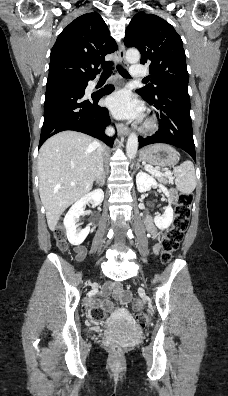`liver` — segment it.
<instances>
[{
    "instance_id": "liver-1",
    "label": "liver",
    "mask_w": 228,
    "mask_h": 396,
    "mask_svg": "<svg viewBox=\"0 0 228 396\" xmlns=\"http://www.w3.org/2000/svg\"><path fill=\"white\" fill-rule=\"evenodd\" d=\"M98 141L63 131L49 138L38 156L39 193L48 227L54 231L61 214L86 195L96 178Z\"/></svg>"
}]
</instances>
